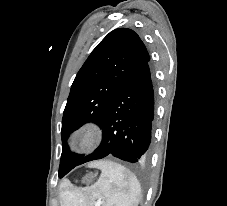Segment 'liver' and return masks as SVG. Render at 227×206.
Wrapping results in <instances>:
<instances>
[{
	"label": "liver",
	"instance_id": "6515ba94",
	"mask_svg": "<svg viewBox=\"0 0 227 206\" xmlns=\"http://www.w3.org/2000/svg\"><path fill=\"white\" fill-rule=\"evenodd\" d=\"M96 165V163H92V164H90V166H95Z\"/></svg>",
	"mask_w": 227,
	"mask_h": 206
}]
</instances>
